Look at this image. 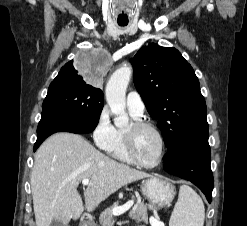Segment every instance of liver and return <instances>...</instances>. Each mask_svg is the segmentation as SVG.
<instances>
[{
  "label": "liver",
  "instance_id": "1",
  "mask_svg": "<svg viewBox=\"0 0 247 226\" xmlns=\"http://www.w3.org/2000/svg\"><path fill=\"white\" fill-rule=\"evenodd\" d=\"M34 160L30 183L36 226H50L53 220L66 225L77 220L84 209L94 210L124 185L151 177L105 156L72 133L49 137ZM83 179H90L84 190L85 206L77 191Z\"/></svg>",
  "mask_w": 247,
  "mask_h": 226
}]
</instances>
